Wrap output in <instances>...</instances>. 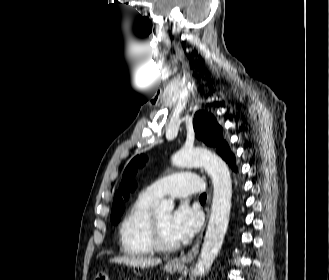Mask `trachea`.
I'll return each instance as SVG.
<instances>
[{
	"mask_svg": "<svg viewBox=\"0 0 329 280\" xmlns=\"http://www.w3.org/2000/svg\"><path fill=\"white\" fill-rule=\"evenodd\" d=\"M206 198H207L206 193L201 194L200 196L201 201H206Z\"/></svg>",
	"mask_w": 329,
	"mask_h": 280,
	"instance_id": "1",
	"label": "trachea"
}]
</instances>
